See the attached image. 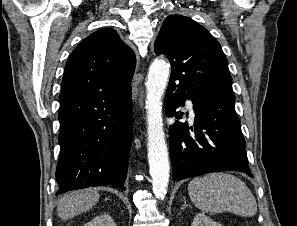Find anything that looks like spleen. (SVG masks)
I'll list each match as a JSON object with an SVG mask.
<instances>
[{
	"mask_svg": "<svg viewBox=\"0 0 297 226\" xmlns=\"http://www.w3.org/2000/svg\"><path fill=\"white\" fill-rule=\"evenodd\" d=\"M194 205L209 213L232 212L252 217L257 212L254 195L246 184L229 173H210L193 179L188 185Z\"/></svg>",
	"mask_w": 297,
	"mask_h": 226,
	"instance_id": "3e777b00",
	"label": "spleen"
}]
</instances>
